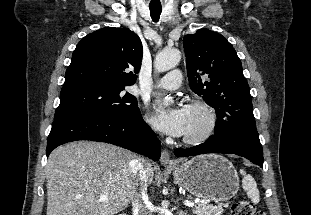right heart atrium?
<instances>
[{
  "instance_id": "right-heart-atrium-1",
  "label": "right heart atrium",
  "mask_w": 311,
  "mask_h": 215,
  "mask_svg": "<svg viewBox=\"0 0 311 215\" xmlns=\"http://www.w3.org/2000/svg\"><path fill=\"white\" fill-rule=\"evenodd\" d=\"M149 127H150V129H151L152 131H156L155 126H154L152 123H150V122H149Z\"/></svg>"
}]
</instances>
